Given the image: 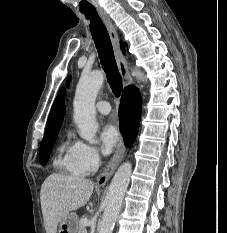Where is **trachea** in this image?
Segmentation results:
<instances>
[{"label":"trachea","instance_id":"trachea-1","mask_svg":"<svg viewBox=\"0 0 227 233\" xmlns=\"http://www.w3.org/2000/svg\"><path fill=\"white\" fill-rule=\"evenodd\" d=\"M82 13L88 20H90V31L110 88L114 95L119 97L121 95L123 85L108 31L96 11Z\"/></svg>","mask_w":227,"mask_h":233}]
</instances>
